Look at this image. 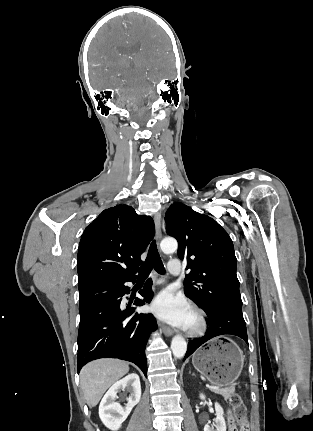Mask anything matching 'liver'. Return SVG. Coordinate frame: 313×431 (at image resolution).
<instances>
[{
    "instance_id": "6515ba94",
    "label": "liver",
    "mask_w": 313,
    "mask_h": 431,
    "mask_svg": "<svg viewBox=\"0 0 313 431\" xmlns=\"http://www.w3.org/2000/svg\"><path fill=\"white\" fill-rule=\"evenodd\" d=\"M128 371V363L116 359H100L85 365L80 383L89 407L96 406L106 390Z\"/></svg>"
}]
</instances>
